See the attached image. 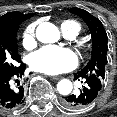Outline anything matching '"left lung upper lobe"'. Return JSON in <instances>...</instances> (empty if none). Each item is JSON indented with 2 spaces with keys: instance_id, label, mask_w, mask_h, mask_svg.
I'll return each instance as SVG.
<instances>
[{
  "instance_id": "obj_1",
  "label": "left lung upper lobe",
  "mask_w": 117,
  "mask_h": 117,
  "mask_svg": "<svg viewBox=\"0 0 117 117\" xmlns=\"http://www.w3.org/2000/svg\"><path fill=\"white\" fill-rule=\"evenodd\" d=\"M81 17L88 25L92 36V56L89 63L81 70L83 73L95 74L102 81L105 78V71L107 66V34L101 21L92 16L87 11L80 8L69 9Z\"/></svg>"
}]
</instances>
